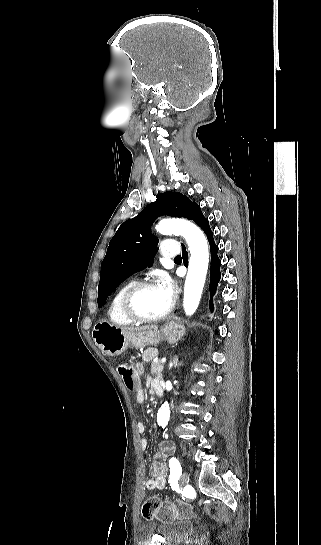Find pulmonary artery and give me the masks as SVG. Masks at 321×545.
Here are the masks:
<instances>
[{
	"label": "pulmonary artery",
	"mask_w": 321,
	"mask_h": 545,
	"mask_svg": "<svg viewBox=\"0 0 321 545\" xmlns=\"http://www.w3.org/2000/svg\"><path fill=\"white\" fill-rule=\"evenodd\" d=\"M161 248L162 259L164 261H171L173 257H178L180 253V243L178 241H165L162 243Z\"/></svg>",
	"instance_id": "pulmonary-artery-1"
}]
</instances>
